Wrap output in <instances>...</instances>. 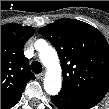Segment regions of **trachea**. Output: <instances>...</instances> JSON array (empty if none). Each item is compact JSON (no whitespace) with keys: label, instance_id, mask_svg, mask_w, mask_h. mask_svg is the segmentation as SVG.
<instances>
[{"label":"trachea","instance_id":"1","mask_svg":"<svg viewBox=\"0 0 109 109\" xmlns=\"http://www.w3.org/2000/svg\"><path fill=\"white\" fill-rule=\"evenodd\" d=\"M31 70L34 73H36V74L41 73L42 72V65H41V63L38 62V61H33L31 63Z\"/></svg>","mask_w":109,"mask_h":109}]
</instances>
